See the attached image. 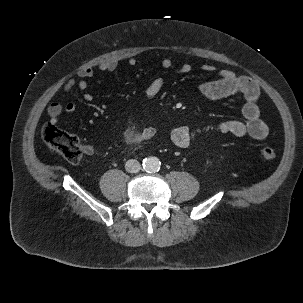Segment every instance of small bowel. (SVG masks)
Returning <instances> with one entry per match:
<instances>
[{
  "instance_id": "obj_1",
  "label": "small bowel",
  "mask_w": 303,
  "mask_h": 303,
  "mask_svg": "<svg viewBox=\"0 0 303 303\" xmlns=\"http://www.w3.org/2000/svg\"><path fill=\"white\" fill-rule=\"evenodd\" d=\"M135 58L128 59L129 66H135ZM162 67L170 71L173 75H184L192 71V66L188 63L181 64L173 68L170 58H164L161 61ZM118 68V62L115 60L106 61L100 64L99 69L102 72H113ZM202 69L208 72L215 71L212 65L205 64ZM94 70L92 67H86L79 70L76 78L69 80L64 86V94L68 95L74 88L86 90L88 79L93 77ZM166 82L165 76L155 77L145 91L148 100H154L161 92ZM199 93L208 100L216 101L231 96H240L243 100L242 114L244 120H229L216 126V130L223 134H230L236 137L249 136L253 139L262 140L269 132L267 124L260 118V109L258 106L259 88L257 84L249 77L237 75L230 70H219L217 78L213 81L201 83L198 86ZM93 95L89 92L83 94V99L87 102L93 100ZM76 111V105L73 102H52L47 109L50 117V123L57 124L59 117L63 112L73 113ZM156 133V128L148 126L133 131L129 129L125 133V138L132 141L133 138L139 140H148ZM195 132L189 126H179L172 130L171 139L173 143L180 148H187L194 138ZM86 154H91L93 149L90 145L84 146Z\"/></svg>"
}]
</instances>
